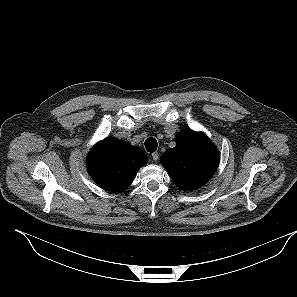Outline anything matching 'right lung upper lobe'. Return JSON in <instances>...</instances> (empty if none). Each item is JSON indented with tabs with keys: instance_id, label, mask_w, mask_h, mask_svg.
Wrapping results in <instances>:
<instances>
[{
	"instance_id": "right-lung-upper-lobe-1",
	"label": "right lung upper lobe",
	"mask_w": 297,
	"mask_h": 297,
	"mask_svg": "<svg viewBox=\"0 0 297 297\" xmlns=\"http://www.w3.org/2000/svg\"><path fill=\"white\" fill-rule=\"evenodd\" d=\"M147 162L139 148L124 141L107 138L97 143L87 157V169L93 180L110 191H123Z\"/></svg>"
}]
</instances>
